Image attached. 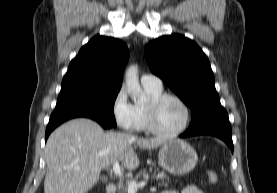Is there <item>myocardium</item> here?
I'll use <instances>...</instances> for the list:
<instances>
[{"label":"myocardium","instance_id":"1","mask_svg":"<svg viewBox=\"0 0 277 193\" xmlns=\"http://www.w3.org/2000/svg\"><path fill=\"white\" fill-rule=\"evenodd\" d=\"M167 99H173L177 101L185 111V121L183 125L177 130L171 131V132H166L161 130L157 124V118H156L157 109L159 105ZM145 115H146V121H147V129L152 134L157 135L159 137H164V138H173L182 134L184 131L187 130L191 122V110L189 105L186 103V101L183 98H181L179 95L174 93H161L159 95L152 97L148 102V104L145 106Z\"/></svg>","mask_w":277,"mask_h":193}]
</instances>
